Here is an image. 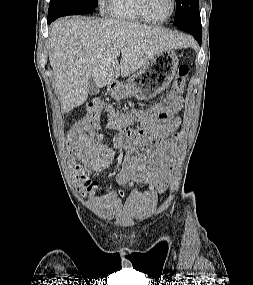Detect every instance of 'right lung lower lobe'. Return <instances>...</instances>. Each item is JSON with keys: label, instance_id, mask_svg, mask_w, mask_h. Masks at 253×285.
Listing matches in <instances>:
<instances>
[{"label": "right lung lower lobe", "instance_id": "obj_1", "mask_svg": "<svg viewBox=\"0 0 253 285\" xmlns=\"http://www.w3.org/2000/svg\"><path fill=\"white\" fill-rule=\"evenodd\" d=\"M55 18H52V17H48V24H50L52 21H54Z\"/></svg>", "mask_w": 253, "mask_h": 285}]
</instances>
